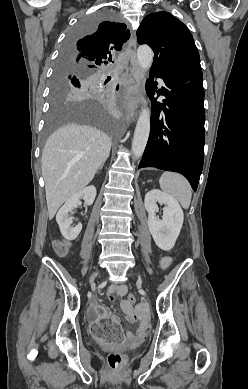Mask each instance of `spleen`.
Segmentation results:
<instances>
[{
    "label": "spleen",
    "instance_id": "3e777b00",
    "mask_svg": "<svg viewBox=\"0 0 248 389\" xmlns=\"http://www.w3.org/2000/svg\"><path fill=\"white\" fill-rule=\"evenodd\" d=\"M159 182L161 189L165 193L174 196L183 208H189L192 189L184 176L174 172H164Z\"/></svg>",
    "mask_w": 248,
    "mask_h": 389
}]
</instances>
